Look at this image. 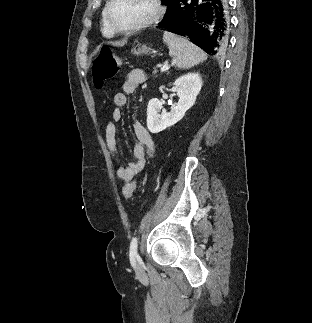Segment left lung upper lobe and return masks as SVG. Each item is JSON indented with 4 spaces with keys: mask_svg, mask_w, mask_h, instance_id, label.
<instances>
[{
    "mask_svg": "<svg viewBox=\"0 0 312 323\" xmlns=\"http://www.w3.org/2000/svg\"><path fill=\"white\" fill-rule=\"evenodd\" d=\"M162 2L167 5V11L163 20L159 23V25L164 24L173 16L174 10L178 5L179 0H162Z\"/></svg>",
    "mask_w": 312,
    "mask_h": 323,
    "instance_id": "obj_1",
    "label": "left lung upper lobe"
}]
</instances>
